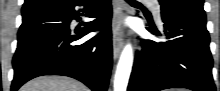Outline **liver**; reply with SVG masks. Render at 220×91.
<instances>
[{"label": "liver", "instance_id": "6515ba94", "mask_svg": "<svg viewBox=\"0 0 220 91\" xmlns=\"http://www.w3.org/2000/svg\"><path fill=\"white\" fill-rule=\"evenodd\" d=\"M20 91H89V89L69 77L40 76L27 82Z\"/></svg>", "mask_w": 220, "mask_h": 91}]
</instances>
